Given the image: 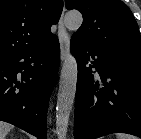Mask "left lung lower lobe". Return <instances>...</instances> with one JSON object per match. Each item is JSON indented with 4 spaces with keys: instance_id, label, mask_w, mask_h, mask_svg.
<instances>
[{
    "instance_id": "left-lung-lower-lobe-1",
    "label": "left lung lower lobe",
    "mask_w": 141,
    "mask_h": 139,
    "mask_svg": "<svg viewBox=\"0 0 141 139\" xmlns=\"http://www.w3.org/2000/svg\"><path fill=\"white\" fill-rule=\"evenodd\" d=\"M71 52L78 63L74 139L110 133L141 137V59L103 50L74 36ZM90 57L94 61L89 64Z\"/></svg>"
}]
</instances>
